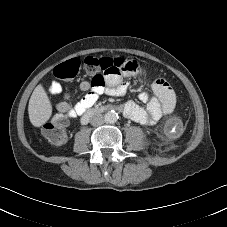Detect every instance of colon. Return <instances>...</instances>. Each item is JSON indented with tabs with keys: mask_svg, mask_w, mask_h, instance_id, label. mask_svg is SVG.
<instances>
[{
	"mask_svg": "<svg viewBox=\"0 0 227 227\" xmlns=\"http://www.w3.org/2000/svg\"><path fill=\"white\" fill-rule=\"evenodd\" d=\"M81 66H84L87 72L92 74V82L95 86L104 84V75L106 74L115 76L121 73L143 70V66L135 60H128L122 57L111 58L87 55L83 59H70L53 69L55 89H60L61 81L74 78ZM68 118L69 116L66 113L58 114L54 121L45 125L43 134L52 140H61L63 138L61 129L66 125Z\"/></svg>",
	"mask_w": 227,
	"mask_h": 227,
	"instance_id": "1",
	"label": "colon"
}]
</instances>
